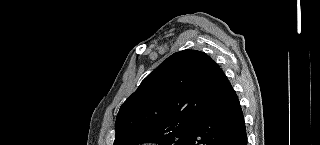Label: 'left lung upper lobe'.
I'll return each mask as SVG.
<instances>
[{
	"label": "left lung upper lobe",
	"mask_w": 320,
	"mask_h": 145,
	"mask_svg": "<svg viewBox=\"0 0 320 145\" xmlns=\"http://www.w3.org/2000/svg\"><path fill=\"white\" fill-rule=\"evenodd\" d=\"M217 63L206 53H174L122 104L114 145H185L207 106V84Z\"/></svg>",
	"instance_id": "1"
}]
</instances>
